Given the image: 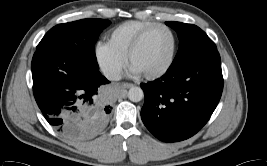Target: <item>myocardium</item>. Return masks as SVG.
I'll list each match as a JSON object with an SVG mask.
<instances>
[{
	"label": "myocardium",
	"instance_id": "f54148a6",
	"mask_svg": "<svg viewBox=\"0 0 267 166\" xmlns=\"http://www.w3.org/2000/svg\"><path fill=\"white\" fill-rule=\"evenodd\" d=\"M158 29H164L167 30L172 38V49H171V54L169 57V60L167 61V63L158 71L152 72V73H144L143 76L147 79H156L162 75H164L172 66L174 59H175V55H176V51H177V37L175 35V33L173 32V30L165 25V24H156L153 27L149 28L148 30H146L145 32H143L135 41L134 43L131 45L130 49L128 50L127 53V61L129 64H131L133 56L135 55V53L138 51V49L141 47L142 43L144 42V40L154 31L158 30Z\"/></svg>",
	"mask_w": 267,
	"mask_h": 166
}]
</instances>
